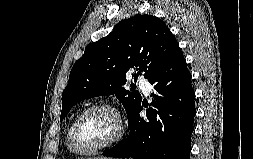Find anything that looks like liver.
Here are the masks:
<instances>
[{
  "mask_svg": "<svg viewBox=\"0 0 253 159\" xmlns=\"http://www.w3.org/2000/svg\"><path fill=\"white\" fill-rule=\"evenodd\" d=\"M87 159H109V158H105V157H97V158H87Z\"/></svg>",
  "mask_w": 253,
  "mask_h": 159,
  "instance_id": "1",
  "label": "liver"
}]
</instances>
